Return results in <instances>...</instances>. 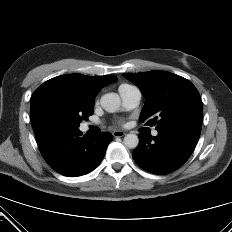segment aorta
I'll return each mask as SVG.
<instances>
[{
  "instance_id": "aorta-1",
  "label": "aorta",
  "mask_w": 232,
  "mask_h": 232,
  "mask_svg": "<svg viewBox=\"0 0 232 232\" xmlns=\"http://www.w3.org/2000/svg\"><path fill=\"white\" fill-rule=\"evenodd\" d=\"M100 103L105 111L109 113H114L119 110L121 105V100L118 94L107 93L101 97ZM138 144H139V138L137 135L130 133L124 137V145L126 147L133 149L136 148Z\"/></svg>"
}]
</instances>
